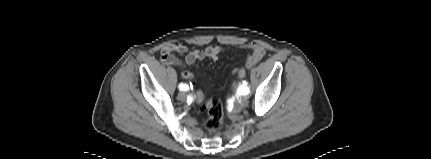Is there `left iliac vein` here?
I'll return each instance as SVG.
<instances>
[{"label": "left iliac vein", "instance_id": "4c4485c4", "mask_svg": "<svg viewBox=\"0 0 431 159\" xmlns=\"http://www.w3.org/2000/svg\"><path fill=\"white\" fill-rule=\"evenodd\" d=\"M247 102H248V101H247V98H246V97H242V104H243V105H246V104H247Z\"/></svg>", "mask_w": 431, "mask_h": 159}]
</instances>
